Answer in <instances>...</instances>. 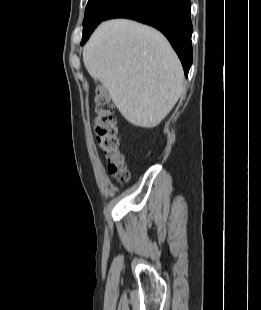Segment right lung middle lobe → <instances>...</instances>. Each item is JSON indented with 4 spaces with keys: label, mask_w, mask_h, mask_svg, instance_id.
Returning <instances> with one entry per match:
<instances>
[{
    "label": "right lung middle lobe",
    "mask_w": 261,
    "mask_h": 310,
    "mask_svg": "<svg viewBox=\"0 0 261 310\" xmlns=\"http://www.w3.org/2000/svg\"><path fill=\"white\" fill-rule=\"evenodd\" d=\"M125 0H88L83 21V37Z\"/></svg>",
    "instance_id": "1"
}]
</instances>
